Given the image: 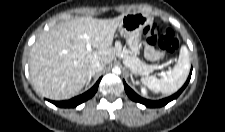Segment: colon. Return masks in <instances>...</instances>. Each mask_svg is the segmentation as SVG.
Segmentation results:
<instances>
[{"label":"colon","mask_w":225,"mask_h":132,"mask_svg":"<svg viewBox=\"0 0 225 132\" xmlns=\"http://www.w3.org/2000/svg\"><path fill=\"white\" fill-rule=\"evenodd\" d=\"M143 36L150 45H157L160 50L167 53H174L179 46L175 33L167 29L161 31L157 23H151L143 29Z\"/></svg>","instance_id":"obj_1"}]
</instances>
